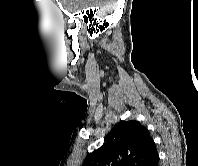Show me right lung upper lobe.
I'll return each mask as SVG.
<instances>
[{
	"mask_svg": "<svg viewBox=\"0 0 198 166\" xmlns=\"http://www.w3.org/2000/svg\"><path fill=\"white\" fill-rule=\"evenodd\" d=\"M156 154L149 131L136 120L123 121L89 154L83 166H147Z\"/></svg>",
	"mask_w": 198,
	"mask_h": 166,
	"instance_id": "cb5924a9",
	"label": "right lung upper lobe"
}]
</instances>
